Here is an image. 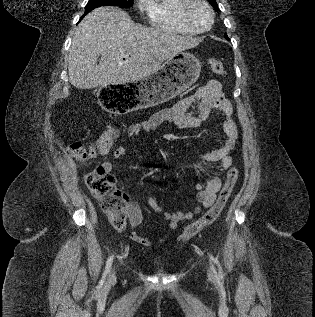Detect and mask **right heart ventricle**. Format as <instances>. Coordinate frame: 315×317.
<instances>
[{"label":"right heart ventricle","mask_w":315,"mask_h":317,"mask_svg":"<svg viewBox=\"0 0 315 317\" xmlns=\"http://www.w3.org/2000/svg\"><path fill=\"white\" fill-rule=\"evenodd\" d=\"M185 0H148L146 13L149 23L160 30L194 35L181 19L180 11Z\"/></svg>","instance_id":"1"}]
</instances>
